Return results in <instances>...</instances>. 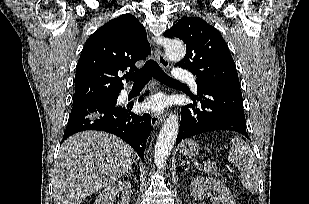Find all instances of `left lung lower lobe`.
I'll return each instance as SVG.
<instances>
[{"instance_id":"left-lung-lower-lobe-1","label":"left lung lower lobe","mask_w":309,"mask_h":204,"mask_svg":"<svg viewBox=\"0 0 309 204\" xmlns=\"http://www.w3.org/2000/svg\"><path fill=\"white\" fill-rule=\"evenodd\" d=\"M190 97L194 102L181 108L176 145L185 138L214 130L236 131L249 138L240 89L197 83V96Z\"/></svg>"}]
</instances>
